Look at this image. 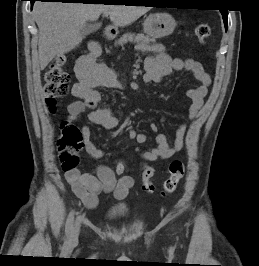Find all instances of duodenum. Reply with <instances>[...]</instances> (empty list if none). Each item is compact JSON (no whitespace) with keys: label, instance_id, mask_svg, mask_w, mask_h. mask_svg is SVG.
<instances>
[{"label":"duodenum","instance_id":"1","mask_svg":"<svg viewBox=\"0 0 259 266\" xmlns=\"http://www.w3.org/2000/svg\"><path fill=\"white\" fill-rule=\"evenodd\" d=\"M103 35L106 39H112L114 37V30L111 27H105L103 30ZM99 52V47L97 45H93L91 47V53L97 54Z\"/></svg>","mask_w":259,"mask_h":266}]
</instances>
